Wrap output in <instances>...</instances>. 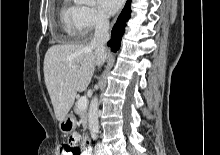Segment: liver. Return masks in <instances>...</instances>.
Listing matches in <instances>:
<instances>
[{
  "label": "liver",
  "mask_w": 220,
  "mask_h": 155,
  "mask_svg": "<svg viewBox=\"0 0 220 155\" xmlns=\"http://www.w3.org/2000/svg\"><path fill=\"white\" fill-rule=\"evenodd\" d=\"M93 48L85 45L51 46L44 58L45 84L56 119L64 120L78 91L88 87L96 65Z\"/></svg>",
  "instance_id": "6515ba94"
}]
</instances>
